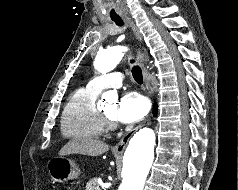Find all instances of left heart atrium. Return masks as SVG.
Instances as JSON below:
<instances>
[{"mask_svg": "<svg viewBox=\"0 0 238 190\" xmlns=\"http://www.w3.org/2000/svg\"><path fill=\"white\" fill-rule=\"evenodd\" d=\"M148 110L149 104L145 97L136 92H129L119 101L116 119L122 123H134L141 120Z\"/></svg>", "mask_w": 238, "mask_h": 190, "instance_id": "obj_1", "label": "left heart atrium"}]
</instances>
